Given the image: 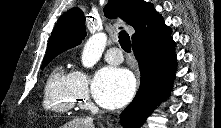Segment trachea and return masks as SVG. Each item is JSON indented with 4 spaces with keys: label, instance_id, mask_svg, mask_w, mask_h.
Instances as JSON below:
<instances>
[{
    "label": "trachea",
    "instance_id": "obj_1",
    "mask_svg": "<svg viewBox=\"0 0 221 128\" xmlns=\"http://www.w3.org/2000/svg\"><path fill=\"white\" fill-rule=\"evenodd\" d=\"M119 43L125 52L129 53L131 51L130 37L124 30L119 33Z\"/></svg>",
    "mask_w": 221,
    "mask_h": 128
}]
</instances>
